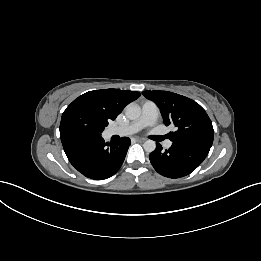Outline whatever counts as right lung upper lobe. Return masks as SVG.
I'll use <instances>...</instances> for the list:
<instances>
[{
  "label": "right lung upper lobe",
  "mask_w": 261,
  "mask_h": 261,
  "mask_svg": "<svg viewBox=\"0 0 261 261\" xmlns=\"http://www.w3.org/2000/svg\"><path fill=\"white\" fill-rule=\"evenodd\" d=\"M139 96L140 93L137 91L119 89L94 90L79 96L69 106H87L108 122L109 120H115L124 107Z\"/></svg>",
  "instance_id": "obj_1"
}]
</instances>
